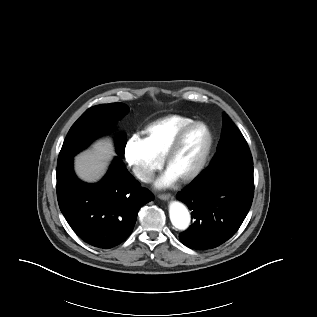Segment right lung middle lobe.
Here are the masks:
<instances>
[{"label": "right lung middle lobe", "mask_w": 317, "mask_h": 317, "mask_svg": "<svg viewBox=\"0 0 317 317\" xmlns=\"http://www.w3.org/2000/svg\"><path fill=\"white\" fill-rule=\"evenodd\" d=\"M128 112L123 103L103 104L89 108L73 124L61 148L57 166L70 160L80 150L87 147L96 137L111 130L112 123ZM126 137L121 135L117 142V153L124 156Z\"/></svg>", "instance_id": "1"}]
</instances>
